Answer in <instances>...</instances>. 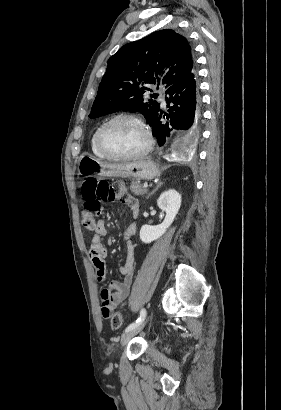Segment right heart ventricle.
Returning a JSON list of instances; mask_svg holds the SVG:
<instances>
[{
	"instance_id": "obj_1",
	"label": "right heart ventricle",
	"mask_w": 281,
	"mask_h": 410,
	"mask_svg": "<svg viewBox=\"0 0 281 410\" xmlns=\"http://www.w3.org/2000/svg\"><path fill=\"white\" fill-rule=\"evenodd\" d=\"M99 127H100V126H99ZM99 127H97V128L94 130V132H93V134H92V136H91V138H90V148H91L92 153H93L95 156H97V157H99V158L105 159L106 157L99 151V149H98V147H97V143H96V134H97V131H98Z\"/></svg>"
}]
</instances>
